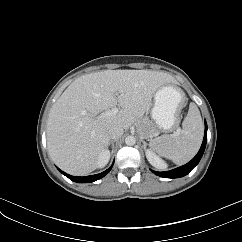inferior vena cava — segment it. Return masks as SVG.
<instances>
[{
	"mask_svg": "<svg viewBox=\"0 0 242 242\" xmlns=\"http://www.w3.org/2000/svg\"><path fill=\"white\" fill-rule=\"evenodd\" d=\"M108 133H109L110 139L116 140V139H119L123 135L124 130L120 126H112L109 129Z\"/></svg>",
	"mask_w": 242,
	"mask_h": 242,
	"instance_id": "obj_1",
	"label": "inferior vena cava"
}]
</instances>
